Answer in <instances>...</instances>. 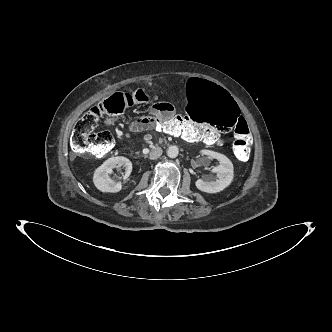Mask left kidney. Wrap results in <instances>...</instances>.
Returning <instances> with one entry per match:
<instances>
[{"instance_id": "1", "label": "left kidney", "mask_w": 332, "mask_h": 332, "mask_svg": "<svg viewBox=\"0 0 332 332\" xmlns=\"http://www.w3.org/2000/svg\"><path fill=\"white\" fill-rule=\"evenodd\" d=\"M202 155H205L204 161L216 159L219 162V165L213 167L212 172L216 173L217 179L214 181H204L198 179L195 182L196 187L203 192L207 193H217L223 191L228 187L234 176V167L232 162L223 154L210 151L202 150L200 152Z\"/></svg>"}]
</instances>
